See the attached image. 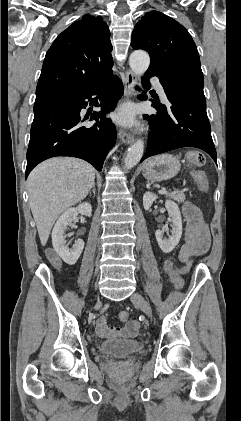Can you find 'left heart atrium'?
Instances as JSON below:
<instances>
[{
    "instance_id": "obj_1",
    "label": "left heart atrium",
    "mask_w": 241,
    "mask_h": 421,
    "mask_svg": "<svg viewBox=\"0 0 241 421\" xmlns=\"http://www.w3.org/2000/svg\"><path fill=\"white\" fill-rule=\"evenodd\" d=\"M115 119L123 125H133L134 124V111L130 107L121 108L116 114Z\"/></svg>"
}]
</instances>
